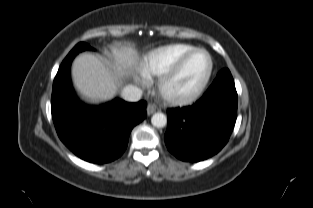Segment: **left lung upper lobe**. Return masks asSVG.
<instances>
[{"instance_id": "left-lung-upper-lobe-1", "label": "left lung upper lobe", "mask_w": 313, "mask_h": 208, "mask_svg": "<svg viewBox=\"0 0 313 208\" xmlns=\"http://www.w3.org/2000/svg\"><path fill=\"white\" fill-rule=\"evenodd\" d=\"M217 77H221V78H225V79H227L229 81H233V78H232V75H231L230 71L228 69H226V68L221 70L218 73Z\"/></svg>"}]
</instances>
